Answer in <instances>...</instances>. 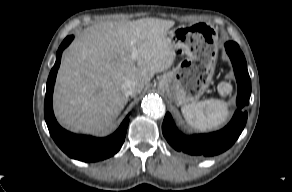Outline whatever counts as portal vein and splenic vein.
Here are the masks:
<instances>
[{
  "label": "portal vein and splenic vein",
  "mask_w": 292,
  "mask_h": 192,
  "mask_svg": "<svg viewBox=\"0 0 292 192\" xmlns=\"http://www.w3.org/2000/svg\"><path fill=\"white\" fill-rule=\"evenodd\" d=\"M139 55V52L136 48V46L134 45V43H132V58L136 59Z\"/></svg>",
  "instance_id": "portal-vein-and-splenic-vein-1"
}]
</instances>
